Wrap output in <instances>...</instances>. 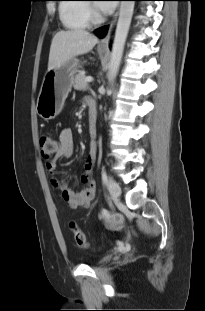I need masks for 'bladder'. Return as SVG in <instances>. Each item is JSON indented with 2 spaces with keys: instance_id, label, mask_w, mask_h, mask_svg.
I'll return each mask as SVG.
<instances>
[{
  "instance_id": "1",
  "label": "bladder",
  "mask_w": 205,
  "mask_h": 311,
  "mask_svg": "<svg viewBox=\"0 0 205 311\" xmlns=\"http://www.w3.org/2000/svg\"><path fill=\"white\" fill-rule=\"evenodd\" d=\"M111 259H112V256L111 255H107V256H104L101 259H99L98 263L99 264H104V263L109 262Z\"/></svg>"
}]
</instances>
